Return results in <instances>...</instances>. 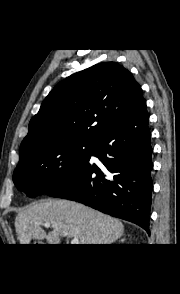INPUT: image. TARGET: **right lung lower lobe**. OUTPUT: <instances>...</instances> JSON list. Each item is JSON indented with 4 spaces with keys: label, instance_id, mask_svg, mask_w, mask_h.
Segmentation results:
<instances>
[{
    "label": "right lung lower lobe",
    "instance_id": "obj_1",
    "mask_svg": "<svg viewBox=\"0 0 180 294\" xmlns=\"http://www.w3.org/2000/svg\"><path fill=\"white\" fill-rule=\"evenodd\" d=\"M146 102L94 141L90 157L66 182L47 195L88 205L133 222L149 233L153 167Z\"/></svg>",
    "mask_w": 180,
    "mask_h": 294
}]
</instances>
